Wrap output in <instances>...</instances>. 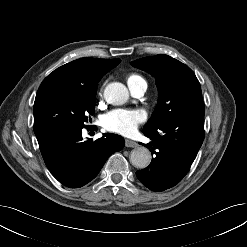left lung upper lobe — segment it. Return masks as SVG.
Instances as JSON below:
<instances>
[{
    "mask_svg": "<svg viewBox=\"0 0 247 247\" xmlns=\"http://www.w3.org/2000/svg\"><path fill=\"white\" fill-rule=\"evenodd\" d=\"M131 65L154 76L159 91L157 107L143 131H153L176 118H204L200 83L188 66L165 54L141 58Z\"/></svg>",
    "mask_w": 247,
    "mask_h": 247,
    "instance_id": "5c2ea615",
    "label": "left lung upper lobe"
}]
</instances>
